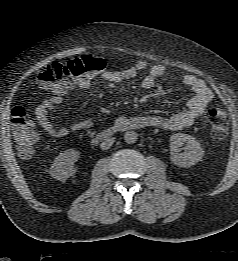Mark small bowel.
Listing matches in <instances>:
<instances>
[{
	"mask_svg": "<svg viewBox=\"0 0 238 261\" xmlns=\"http://www.w3.org/2000/svg\"><path fill=\"white\" fill-rule=\"evenodd\" d=\"M147 67V62L140 60L133 66L123 70H110L104 67L100 73L105 81L119 83L134 78L138 73L146 70ZM166 71L167 68L163 64L152 66L141 82L142 88L146 90L153 88L157 79L162 77ZM180 80L193 92V96L189 99L186 109L167 118L161 116L121 115L115 120V125L131 127V129L154 127L166 131H178L190 127L203 115L213 99V93L203 80L194 75L184 74L180 77ZM90 85V77L78 78L70 83L66 91L72 87L86 90ZM66 91L54 92L51 97L44 99L35 108V116L39 125L51 137L61 138L70 132L88 130L94 126V120L90 117L79 120L68 127L55 122L51 115V110L63 103Z\"/></svg>",
	"mask_w": 238,
	"mask_h": 261,
	"instance_id": "small-bowel-1",
	"label": "small bowel"
}]
</instances>
